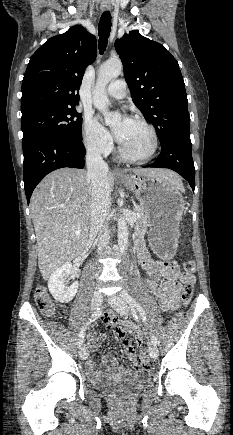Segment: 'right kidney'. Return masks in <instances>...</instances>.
I'll return each instance as SVG.
<instances>
[{"mask_svg":"<svg viewBox=\"0 0 233 435\" xmlns=\"http://www.w3.org/2000/svg\"><path fill=\"white\" fill-rule=\"evenodd\" d=\"M72 269L71 263H65L56 269L49 278V291L54 299L60 303L70 302L77 293L78 282L75 281L70 287L65 285L66 276L71 273Z\"/></svg>","mask_w":233,"mask_h":435,"instance_id":"obj_1","label":"right kidney"}]
</instances>
